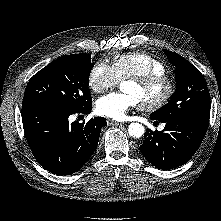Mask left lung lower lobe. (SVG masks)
<instances>
[{
    "label": "left lung lower lobe",
    "instance_id": "1",
    "mask_svg": "<svg viewBox=\"0 0 221 221\" xmlns=\"http://www.w3.org/2000/svg\"><path fill=\"white\" fill-rule=\"evenodd\" d=\"M165 123L163 131L147 129L140 151L148 162L158 169L169 170L185 164L199 148L207 131L209 119L177 118L159 120Z\"/></svg>",
    "mask_w": 221,
    "mask_h": 221
}]
</instances>
